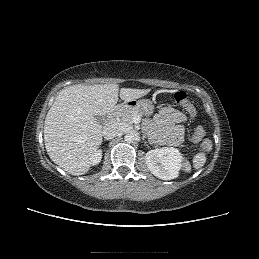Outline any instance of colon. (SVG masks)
I'll return each instance as SVG.
<instances>
[{
  "mask_svg": "<svg viewBox=\"0 0 259 259\" xmlns=\"http://www.w3.org/2000/svg\"><path fill=\"white\" fill-rule=\"evenodd\" d=\"M174 101L181 105L189 114L188 120L192 123V134L191 143L197 144L201 141L200 148L203 152L207 153L212 148V142L209 138L204 137V129L199 126L198 119L195 116L196 110L193 104L189 101L187 95L183 91L176 92L173 95Z\"/></svg>",
  "mask_w": 259,
  "mask_h": 259,
  "instance_id": "obj_1",
  "label": "colon"
}]
</instances>
